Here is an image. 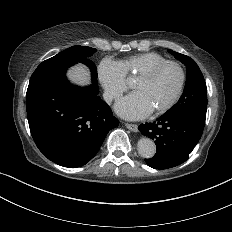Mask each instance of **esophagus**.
<instances>
[{
    "label": "esophagus",
    "mask_w": 232,
    "mask_h": 232,
    "mask_svg": "<svg viewBox=\"0 0 232 232\" xmlns=\"http://www.w3.org/2000/svg\"><path fill=\"white\" fill-rule=\"evenodd\" d=\"M126 128L133 132H138V125L137 124H131V123H125Z\"/></svg>",
    "instance_id": "34e87169"
}]
</instances>
